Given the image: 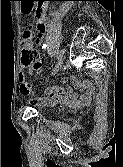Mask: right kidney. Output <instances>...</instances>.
I'll return each instance as SVG.
<instances>
[{"label": "right kidney", "instance_id": "ca27d5eb", "mask_svg": "<svg viewBox=\"0 0 123 167\" xmlns=\"http://www.w3.org/2000/svg\"><path fill=\"white\" fill-rule=\"evenodd\" d=\"M69 3H71V2H69ZM69 5L70 4H67L62 8V11H61L62 16H64L67 13V11L69 10V8H70Z\"/></svg>", "mask_w": 123, "mask_h": 167}]
</instances>
